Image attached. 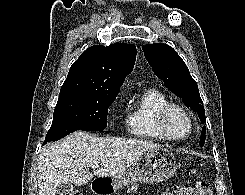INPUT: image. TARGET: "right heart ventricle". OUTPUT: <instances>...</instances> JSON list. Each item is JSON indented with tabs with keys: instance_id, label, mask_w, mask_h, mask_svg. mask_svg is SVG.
<instances>
[{
	"instance_id": "1",
	"label": "right heart ventricle",
	"mask_w": 245,
	"mask_h": 195,
	"mask_svg": "<svg viewBox=\"0 0 245 195\" xmlns=\"http://www.w3.org/2000/svg\"><path fill=\"white\" fill-rule=\"evenodd\" d=\"M169 100L155 88L143 90L126 109V125L129 135L140 139L165 140L155 126L157 111Z\"/></svg>"
}]
</instances>
